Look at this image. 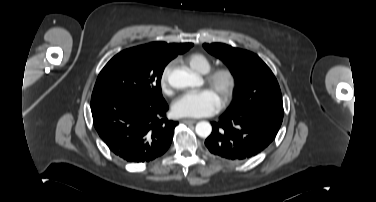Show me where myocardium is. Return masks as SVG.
Here are the masks:
<instances>
[{
	"label": "myocardium",
	"instance_id": "obj_1",
	"mask_svg": "<svg viewBox=\"0 0 376 202\" xmlns=\"http://www.w3.org/2000/svg\"><path fill=\"white\" fill-rule=\"evenodd\" d=\"M205 82L219 93L221 106L224 107L234 94L237 76L231 67L222 66L208 72L205 76Z\"/></svg>",
	"mask_w": 376,
	"mask_h": 202
}]
</instances>
